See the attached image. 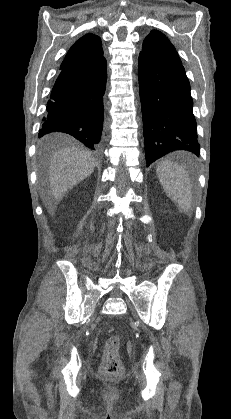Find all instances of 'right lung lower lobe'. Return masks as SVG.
<instances>
[{
    "label": "right lung lower lobe",
    "mask_w": 231,
    "mask_h": 419,
    "mask_svg": "<svg viewBox=\"0 0 231 419\" xmlns=\"http://www.w3.org/2000/svg\"><path fill=\"white\" fill-rule=\"evenodd\" d=\"M60 69L47 102L39 137L52 132H64L89 149L99 152L107 62L103 59Z\"/></svg>",
    "instance_id": "right-lung-lower-lobe-1"
}]
</instances>
